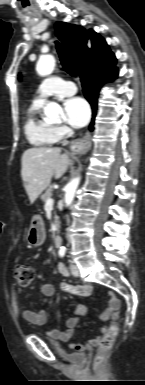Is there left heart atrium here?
<instances>
[{
	"mask_svg": "<svg viewBox=\"0 0 145 385\" xmlns=\"http://www.w3.org/2000/svg\"><path fill=\"white\" fill-rule=\"evenodd\" d=\"M65 118L72 127L85 126L90 118L88 103L81 97H71L64 102Z\"/></svg>",
	"mask_w": 145,
	"mask_h": 385,
	"instance_id": "1",
	"label": "left heart atrium"
}]
</instances>
